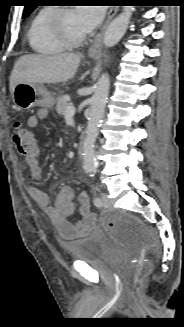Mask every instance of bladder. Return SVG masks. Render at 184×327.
Segmentation results:
<instances>
[{
  "label": "bladder",
  "mask_w": 184,
  "mask_h": 327,
  "mask_svg": "<svg viewBox=\"0 0 184 327\" xmlns=\"http://www.w3.org/2000/svg\"><path fill=\"white\" fill-rule=\"evenodd\" d=\"M68 254L76 262L92 263L104 252L113 248L109 236L100 229L91 231L87 236L65 245Z\"/></svg>",
  "instance_id": "bladder-1"
}]
</instances>
